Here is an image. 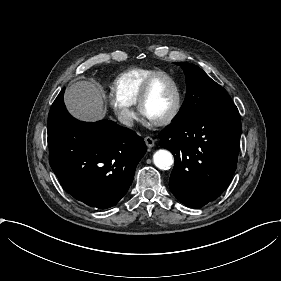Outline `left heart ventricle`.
<instances>
[{"label":"left heart ventricle","instance_id":"1","mask_svg":"<svg viewBox=\"0 0 281 281\" xmlns=\"http://www.w3.org/2000/svg\"><path fill=\"white\" fill-rule=\"evenodd\" d=\"M174 102V88L170 82L163 80L154 87L144 105V112L151 120H162L171 113Z\"/></svg>","mask_w":281,"mask_h":281}]
</instances>
